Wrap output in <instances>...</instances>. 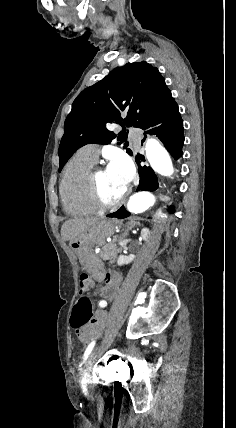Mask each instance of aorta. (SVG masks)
<instances>
[{"label":"aorta","mask_w":236,"mask_h":428,"mask_svg":"<svg viewBox=\"0 0 236 428\" xmlns=\"http://www.w3.org/2000/svg\"><path fill=\"white\" fill-rule=\"evenodd\" d=\"M146 157L151 168L163 176H171L174 172L170 155L159 141L149 138L145 145ZM155 197L153 194L143 191L132 195L127 203V209L131 213H142L153 206Z\"/></svg>","instance_id":"obj_1"}]
</instances>
